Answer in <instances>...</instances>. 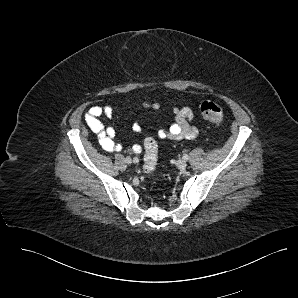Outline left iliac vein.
Masks as SVG:
<instances>
[{"mask_svg":"<svg viewBox=\"0 0 298 298\" xmlns=\"http://www.w3.org/2000/svg\"><path fill=\"white\" fill-rule=\"evenodd\" d=\"M176 165L179 169L184 170L187 167V162L185 160H179Z\"/></svg>","mask_w":298,"mask_h":298,"instance_id":"left-iliac-vein-1","label":"left iliac vein"}]
</instances>
